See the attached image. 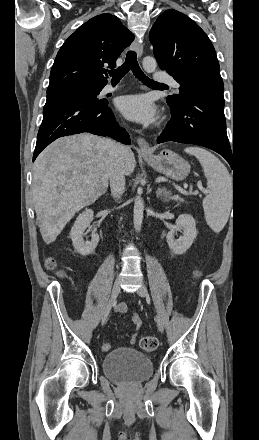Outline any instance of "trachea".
<instances>
[{
	"label": "trachea",
	"instance_id": "trachea-1",
	"mask_svg": "<svg viewBox=\"0 0 259 440\" xmlns=\"http://www.w3.org/2000/svg\"><path fill=\"white\" fill-rule=\"evenodd\" d=\"M130 70H132L134 76L146 85L165 86L164 84L157 83L147 77L141 70L137 55L134 51H128L125 62L117 69L109 71L112 76V81L119 82Z\"/></svg>",
	"mask_w": 259,
	"mask_h": 440
}]
</instances>
